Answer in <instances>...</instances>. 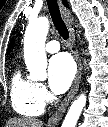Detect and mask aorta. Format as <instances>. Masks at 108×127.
<instances>
[{
  "mask_svg": "<svg viewBox=\"0 0 108 127\" xmlns=\"http://www.w3.org/2000/svg\"><path fill=\"white\" fill-rule=\"evenodd\" d=\"M49 29L47 17L31 20L24 36V60L33 81L47 78V58L45 53V41ZM86 105V96L81 94L72 103L65 116L62 127H75L79 116Z\"/></svg>",
  "mask_w": 108,
  "mask_h": 127,
  "instance_id": "762f6f07",
  "label": "aorta"
}]
</instances>
